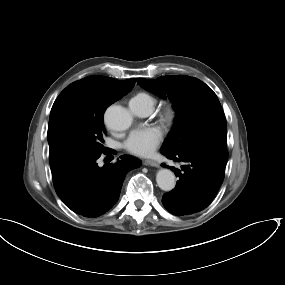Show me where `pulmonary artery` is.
<instances>
[{
  "mask_svg": "<svg viewBox=\"0 0 285 285\" xmlns=\"http://www.w3.org/2000/svg\"><path fill=\"white\" fill-rule=\"evenodd\" d=\"M129 107L134 114L140 116L148 115L153 109L150 102L140 98H132L129 102Z\"/></svg>",
  "mask_w": 285,
  "mask_h": 285,
  "instance_id": "pulmonary-artery-1",
  "label": "pulmonary artery"
}]
</instances>
